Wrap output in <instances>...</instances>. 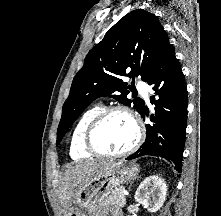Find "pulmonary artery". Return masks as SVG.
<instances>
[{
  "label": "pulmonary artery",
  "instance_id": "1",
  "mask_svg": "<svg viewBox=\"0 0 221 216\" xmlns=\"http://www.w3.org/2000/svg\"><path fill=\"white\" fill-rule=\"evenodd\" d=\"M138 88L140 90V92L142 93V95L148 99V93H147V87L143 82H139L138 83Z\"/></svg>",
  "mask_w": 221,
  "mask_h": 216
}]
</instances>
